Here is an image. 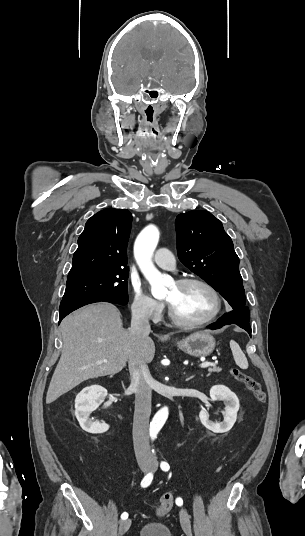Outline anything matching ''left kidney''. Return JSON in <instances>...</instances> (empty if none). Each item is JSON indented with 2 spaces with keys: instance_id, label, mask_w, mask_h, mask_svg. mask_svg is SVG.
Instances as JSON below:
<instances>
[{
  "instance_id": "left-kidney-1",
  "label": "left kidney",
  "mask_w": 305,
  "mask_h": 536,
  "mask_svg": "<svg viewBox=\"0 0 305 536\" xmlns=\"http://www.w3.org/2000/svg\"><path fill=\"white\" fill-rule=\"evenodd\" d=\"M210 398L213 402L214 400H222V402H224V420L223 422H219V424L210 422L207 410L202 408L199 414L200 422H202L207 430H211L214 434H224V432H229L236 422L237 412L240 408L236 394H233V392H231L229 388H226V386H213L210 390Z\"/></svg>"
}]
</instances>
